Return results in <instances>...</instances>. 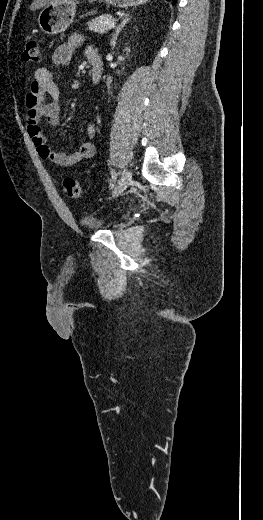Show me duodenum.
Wrapping results in <instances>:
<instances>
[{"label": "duodenum", "instance_id": "obj_1", "mask_svg": "<svg viewBox=\"0 0 263 520\" xmlns=\"http://www.w3.org/2000/svg\"><path fill=\"white\" fill-rule=\"evenodd\" d=\"M88 59L91 63V79L94 84H98L102 77L103 65L100 54L94 50L88 55Z\"/></svg>", "mask_w": 263, "mask_h": 520}]
</instances>
